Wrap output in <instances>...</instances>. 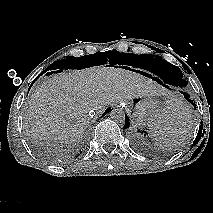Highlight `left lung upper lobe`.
<instances>
[{"mask_svg":"<svg viewBox=\"0 0 213 213\" xmlns=\"http://www.w3.org/2000/svg\"><path fill=\"white\" fill-rule=\"evenodd\" d=\"M138 58L140 68L167 76L175 87L183 88L187 85L180 68L163 60L158 55H139Z\"/></svg>","mask_w":213,"mask_h":213,"instance_id":"1","label":"left lung upper lobe"}]
</instances>
